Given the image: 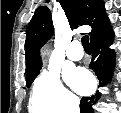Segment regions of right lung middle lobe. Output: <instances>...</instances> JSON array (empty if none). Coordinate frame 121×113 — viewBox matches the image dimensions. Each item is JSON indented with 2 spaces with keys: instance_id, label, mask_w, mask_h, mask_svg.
Returning <instances> with one entry per match:
<instances>
[{
  "instance_id": "right-lung-middle-lobe-1",
  "label": "right lung middle lobe",
  "mask_w": 121,
  "mask_h": 113,
  "mask_svg": "<svg viewBox=\"0 0 121 113\" xmlns=\"http://www.w3.org/2000/svg\"><path fill=\"white\" fill-rule=\"evenodd\" d=\"M42 66H40L37 70L30 72L27 74V79H26V86L29 87L31 83L34 81L35 77L40 73V69Z\"/></svg>"
}]
</instances>
